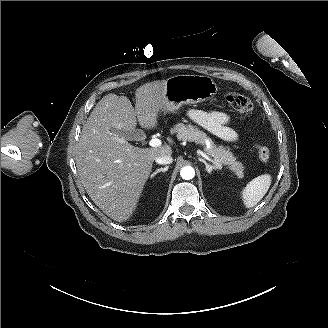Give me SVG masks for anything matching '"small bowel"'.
Masks as SVG:
<instances>
[{
    "label": "small bowel",
    "mask_w": 328,
    "mask_h": 328,
    "mask_svg": "<svg viewBox=\"0 0 328 328\" xmlns=\"http://www.w3.org/2000/svg\"><path fill=\"white\" fill-rule=\"evenodd\" d=\"M188 117L225 141H236L239 137L236 130L229 126L230 116L227 113L216 110L190 109L187 112Z\"/></svg>",
    "instance_id": "c3829d8e"
}]
</instances>
